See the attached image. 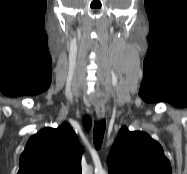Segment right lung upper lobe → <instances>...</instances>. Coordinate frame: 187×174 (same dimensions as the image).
<instances>
[{"instance_id":"right-lung-upper-lobe-1","label":"right lung upper lobe","mask_w":187,"mask_h":174,"mask_svg":"<svg viewBox=\"0 0 187 174\" xmlns=\"http://www.w3.org/2000/svg\"><path fill=\"white\" fill-rule=\"evenodd\" d=\"M82 152L69 124L42 129L28 140L17 174H81Z\"/></svg>"}]
</instances>
